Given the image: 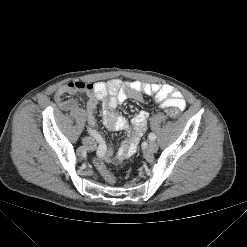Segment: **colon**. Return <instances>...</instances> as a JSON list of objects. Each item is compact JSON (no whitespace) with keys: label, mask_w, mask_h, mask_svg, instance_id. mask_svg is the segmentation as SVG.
<instances>
[{"label":"colon","mask_w":247,"mask_h":247,"mask_svg":"<svg viewBox=\"0 0 247 247\" xmlns=\"http://www.w3.org/2000/svg\"><path fill=\"white\" fill-rule=\"evenodd\" d=\"M167 114L171 118H178L179 117V110L177 108H170L167 110ZM96 167L99 170L100 174L105 178V180L109 183L115 182V177L111 174V172L106 168L105 163L103 160L96 161Z\"/></svg>","instance_id":"5ec220e1"}]
</instances>
